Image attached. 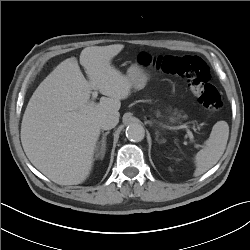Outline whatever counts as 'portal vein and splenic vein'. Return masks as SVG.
Here are the masks:
<instances>
[{"label": "portal vein and splenic vein", "instance_id": "portal-vein-and-splenic-vein-1", "mask_svg": "<svg viewBox=\"0 0 250 250\" xmlns=\"http://www.w3.org/2000/svg\"><path fill=\"white\" fill-rule=\"evenodd\" d=\"M97 96H98V92L97 91H93L92 92V99L94 100V99H96L97 98ZM180 128H184V129H186L187 130V133H188V136H189V138L191 139V140H193V134H192V132L190 131V129H189V127L187 126V125H181L180 126ZM195 131L197 130L196 128H193Z\"/></svg>", "mask_w": 250, "mask_h": 250}]
</instances>
